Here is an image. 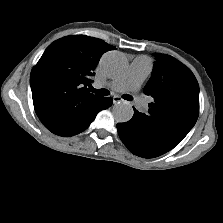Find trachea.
Listing matches in <instances>:
<instances>
[{"label": "trachea", "instance_id": "1", "mask_svg": "<svg viewBox=\"0 0 223 223\" xmlns=\"http://www.w3.org/2000/svg\"><path fill=\"white\" fill-rule=\"evenodd\" d=\"M90 91L93 93H96L98 95H104V96L110 95V92L107 89H99L98 90V89H94L93 87H91ZM123 98L128 101L132 100V96H130V95H123Z\"/></svg>", "mask_w": 223, "mask_h": 223}]
</instances>
